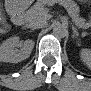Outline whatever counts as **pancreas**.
Instances as JSON below:
<instances>
[{"instance_id": "cf45deb5", "label": "pancreas", "mask_w": 91, "mask_h": 91, "mask_svg": "<svg viewBox=\"0 0 91 91\" xmlns=\"http://www.w3.org/2000/svg\"><path fill=\"white\" fill-rule=\"evenodd\" d=\"M52 4L53 2H45V1H38L35 3L31 9H29L26 13L27 19L30 21H39L45 17L47 14V9L44 7L45 4ZM68 11L69 15L72 17L73 21L79 25L80 28H87L89 27L88 23H85V20L79 18L78 6L72 1H61L60 2Z\"/></svg>"}]
</instances>
